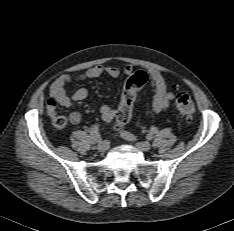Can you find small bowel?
I'll list each match as a JSON object with an SVG mask.
<instances>
[{
	"instance_id": "small-bowel-1",
	"label": "small bowel",
	"mask_w": 234,
	"mask_h": 231,
	"mask_svg": "<svg viewBox=\"0 0 234 231\" xmlns=\"http://www.w3.org/2000/svg\"><path fill=\"white\" fill-rule=\"evenodd\" d=\"M134 70L132 65H125L122 69L116 66H103L96 65L76 75H63L53 81L49 90V99L47 100L46 110L50 117L56 115V106L71 107L75 103L85 100L89 96V91L86 88L77 89L72 95H69L66 91V86L75 81H85L94 78H98L104 74L118 78L122 74L130 75ZM151 85L154 90L152 112L160 113L165 111L171 101L174 99L173 92L167 88L166 77L158 70L149 71ZM100 114L102 120L106 124H110L115 121L118 108L111 105H103L100 108ZM70 121L73 124H77L81 121L82 115L78 111H74L69 116Z\"/></svg>"
}]
</instances>
